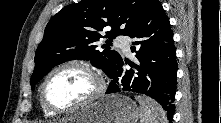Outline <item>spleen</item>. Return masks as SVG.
I'll return each mask as SVG.
<instances>
[{"mask_svg":"<svg viewBox=\"0 0 221 123\" xmlns=\"http://www.w3.org/2000/svg\"><path fill=\"white\" fill-rule=\"evenodd\" d=\"M140 105L141 123H168L163 108L154 100L143 96H135Z\"/></svg>","mask_w":221,"mask_h":123,"instance_id":"1","label":"spleen"}]
</instances>
